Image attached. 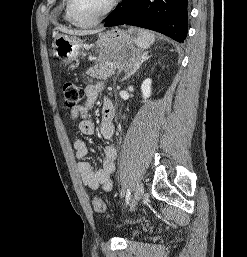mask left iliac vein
<instances>
[{
  "label": "left iliac vein",
  "instance_id": "left-iliac-vein-1",
  "mask_svg": "<svg viewBox=\"0 0 247 257\" xmlns=\"http://www.w3.org/2000/svg\"><path fill=\"white\" fill-rule=\"evenodd\" d=\"M144 194V187L142 183H138L135 187L134 199L132 202V208L138 203V201L142 198Z\"/></svg>",
  "mask_w": 247,
  "mask_h": 257
}]
</instances>
